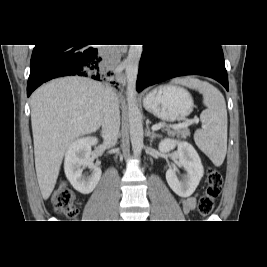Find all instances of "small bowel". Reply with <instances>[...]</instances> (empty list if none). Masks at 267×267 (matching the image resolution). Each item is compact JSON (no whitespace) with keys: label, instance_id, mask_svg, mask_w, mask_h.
Here are the masks:
<instances>
[{"label":"small bowel","instance_id":"1","mask_svg":"<svg viewBox=\"0 0 267 267\" xmlns=\"http://www.w3.org/2000/svg\"><path fill=\"white\" fill-rule=\"evenodd\" d=\"M181 206H182L183 211L186 214H188L196 206V196H190V197L181 199Z\"/></svg>","mask_w":267,"mask_h":267}]
</instances>
